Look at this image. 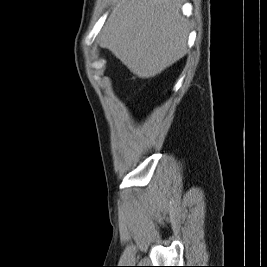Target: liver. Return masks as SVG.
Instances as JSON below:
<instances>
[{
    "label": "liver",
    "mask_w": 267,
    "mask_h": 267,
    "mask_svg": "<svg viewBox=\"0 0 267 267\" xmlns=\"http://www.w3.org/2000/svg\"><path fill=\"white\" fill-rule=\"evenodd\" d=\"M182 0H111L98 37L134 75L148 79L187 53L189 27Z\"/></svg>",
    "instance_id": "1"
}]
</instances>
